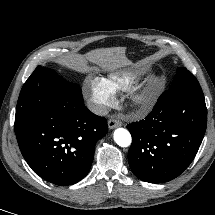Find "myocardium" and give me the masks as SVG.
Wrapping results in <instances>:
<instances>
[{"label": "myocardium", "instance_id": "f54148a6", "mask_svg": "<svg viewBox=\"0 0 215 215\" xmlns=\"http://www.w3.org/2000/svg\"><path fill=\"white\" fill-rule=\"evenodd\" d=\"M156 94L154 86L137 90L129 96L130 104L137 110H145L150 107Z\"/></svg>", "mask_w": 215, "mask_h": 215}]
</instances>
